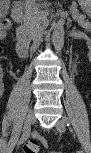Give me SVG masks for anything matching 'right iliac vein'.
Returning <instances> with one entry per match:
<instances>
[{
	"label": "right iliac vein",
	"mask_w": 91,
	"mask_h": 153,
	"mask_svg": "<svg viewBox=\"0 0 91 153\" xmlns=\"http://www.w3.org/2000/svg\"><path fill=\"white\" fill-rule=\"evenodd\" d=\"M35 121V117H34V113L32 110H30L24 120V128H23V132H30L31 127L33 125Z\"/></svg>",
	"instance_id": "obj_1"
}]
</instances>
